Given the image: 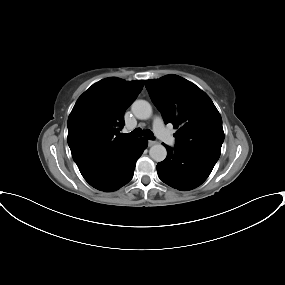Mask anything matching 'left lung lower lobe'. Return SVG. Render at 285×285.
<instances>
[{"label":"left lung lower lobe","mask_w":285,"mask_h":285,"mask_svg":"<svg viewBox=\"0 0 285 285\" xmlns=\"http://www.w3.org/2000/svg\"><path fill=\"white\" fill-rule=\"evenodd\" d=\"M167 149V157L157 164L159 178L167 185L182 191L201 185L211 173L217 160L185 149Z\"/></svg>","instance_id":"obj_1"}]
</instances>
